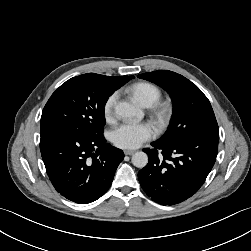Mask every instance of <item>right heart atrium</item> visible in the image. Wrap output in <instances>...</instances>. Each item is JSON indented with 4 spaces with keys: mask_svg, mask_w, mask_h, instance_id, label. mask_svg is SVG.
Here are the masks:
<instances>
[{
    "mask_svg": "<svg viewBox=\"0 0 251 251\" xmlns=\"http://www.w3.org/2000/svg\"><path fill=\"white\" fill-rule=\"evenodd\" d=\"M118 98L117 92L111 93L103 104V114L107 121L111 120L114 115V107Z\"/></svg>",
    "mask_w": 251,
    "mask_h": 251,
    "instance_id": "1",
    "label": "right heart atrium"
}]
</instances>
